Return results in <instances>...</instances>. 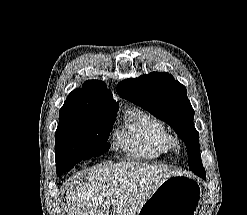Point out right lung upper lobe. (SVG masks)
<instances>
[{
	"mask_svg": "<svg viewBox=\"0 0 247 215\" xmlns=\"http://www.w3.org/2000/svg\"><path fill=\"white\" fill-rule=\"evenodd\" d=\"M70 97L78 99L83 104L108 111H117L118 103L113 99L111 91L104 82L99 80L86 81L81 89H75Z\"/></svg>",
	"mask_w": 247,
	"mask_h": 215,
	"instance_id": "obj_1",
	"label": "right lung upper lobe"
}]
</instances>
